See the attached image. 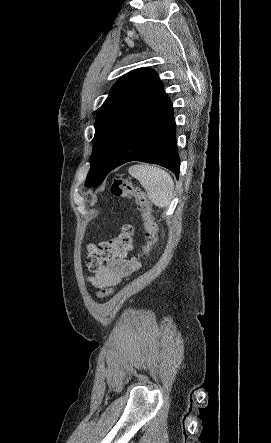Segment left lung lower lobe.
I'll use <instances>...</instances> for the list:
<instances>
[{
  "instance_id": "0a47b994",
  "label": "left lung lower lobe",
  "mask_w": 271,
  "mask_h": 443,
  "mask_svg": "<svg viewBox=\"0 0 271 443\" xmlns=\"http://www.w3.org/2000/svg\"><path fill=\"white\" fill-rule=\"evenodd\" d=\"M130 161L164 166L178 179L180 162L173 107L159 80L126 128L110 171Z\"/></svg>"
}]
</instances>
